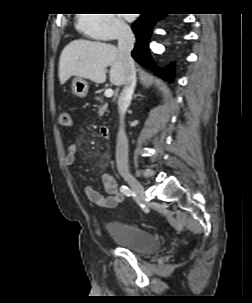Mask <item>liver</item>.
Segmentation results:
<instances>
[{
    "instance_id": "1",
    "label": "liver",
    "mask_w": 252,
    "mask_h": 303,
    "mask_svg": "<svg viewBox=\"0 0 252 303\" xmlns=\"http://www.w3.org/2000/svg\"><path fill=\"white\" fill-rule=\"evenodd\" d=\"M107 66L111 67L110 82L115 86L124 85L126 68L116 46L84 39L74 40L66 45L60 55V84H64L72 76L104 83Z\"/></svg>"
}]
</instances>
